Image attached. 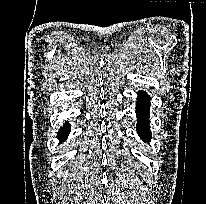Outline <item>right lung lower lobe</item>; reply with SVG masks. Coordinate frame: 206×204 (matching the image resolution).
I'll return each mask as SVG.
<instances>
[{"label":"right lung lower lobe","instance_id":"98d812e1","mask_svg":"<svg viewBox=\"0 0 206 204\" xmlns=\"http://www.w3.org/2000/svg\"><path fill=\"white\" fill-rule=\"evenodd\" d=\"M68 134H69L68 126L64 125V127L59 130L57 137L59 141L62 142L67 138Z\"/></svg>","mask_w":206,"mask_h":204}]
</instances>
